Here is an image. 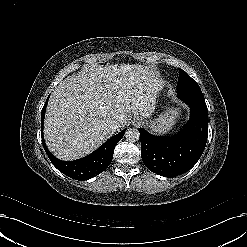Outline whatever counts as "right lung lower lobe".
Masks as SVG:
<instances>
[{"mask_svg":"<svg viewBox=\"0 0 247 247\" xmlns=\"http://www.w3.org/2000/svg\"><path fill=\"white\" fill-rule=\"evenodd\" d=\"M47 101L41 112V137L44 149L52 164L68 177L81 181L93 178L102 173L110 165L113 158L114 148L124 136L126 129L111 137L97 150L84 158L70 162L59 160L48 150L43 138V123Z\"/></svg>","mask_w":247,"mask_h":247,"instance_id":"obj_1","label":"right lung lower lobe"}]
</instances>
